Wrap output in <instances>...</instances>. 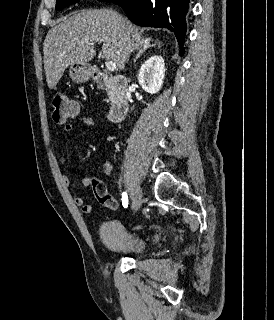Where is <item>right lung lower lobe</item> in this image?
<instances>
[{"label": "right lung lower lobe", "instance_id": "obj_1", "mask_svg": "<svg viewBox=\"0 0 274 320\" xmlns=\"http://www.w3.org/2000/svg\"><path fill=\"white\" fill-rule=\"evenodd\" d=\"M120 5L127 17L135 24L145 27H166L173 31L184 54L186 14L190 0H111Z\"/></svg>", "mask_w": 274, "mask_h": 320}]
</instances>
